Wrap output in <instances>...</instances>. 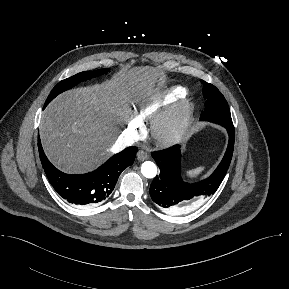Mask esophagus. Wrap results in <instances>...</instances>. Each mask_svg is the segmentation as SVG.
<instances>
[{
    "mask_svg": "<svg viewBox=\"0 0 289 289\" xmlns=\"http://www.w3.org/2000/svg\"><path fill=\"white\" fill-rule=\"evenodd\" d=\"M137 158H138V160L143 161V160L148 159L149 155H148V153L146 151L139 150L138 153H137Z\"/></svg>",
    "mask_w": 289,
    "mask_h": 289,
    "instance_id": "1",
    "label": "esophagus"
}]
</instances>
